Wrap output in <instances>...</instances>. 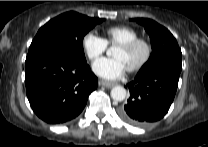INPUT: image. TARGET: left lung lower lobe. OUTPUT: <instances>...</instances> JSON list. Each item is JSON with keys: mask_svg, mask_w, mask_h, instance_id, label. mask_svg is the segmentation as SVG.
I'll use <instances>...</instances> for the list:
<instances>
[{"mask_svg": "<svg viewBox=\"0 0 208 147\" xmlns=\"http://www.w3.org/2000/svg\"><path fill=\"white\" fill-rule=\"evenodd\" d=\"M180 72L165 65L137 74L135 80L127 84L130 97L119 109L120 117L135 126L163 118L173 102Z\"/></svg>", "mask_w": 208, "mask_h": 147, "instance_id": "1", "label": "left lung lower lobe"}]
</instances>
